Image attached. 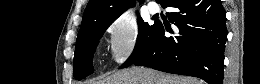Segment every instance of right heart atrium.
Returning a JSON list of instances; mask_svg holds the SVG:
<instances>
[{
    "label": "right heart atrium",
    "mask_w": 260,
    "mask_h": 84,
    "mask_svg": "<svg viewBox=\"0 0 260 84\" xmlns=\"http://www.w3.org/2000/svg\"><path fill=\"white\" fill-rule=\"evenodd\" d=\"M106 32L112 59L118 64L124 63L138 47V24L131 17L119 16L107 25Z\"/></svg>",
    "instance_id": "obj_1"
}]
</instances>
